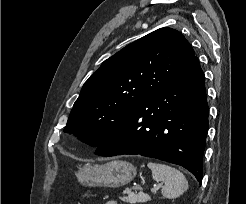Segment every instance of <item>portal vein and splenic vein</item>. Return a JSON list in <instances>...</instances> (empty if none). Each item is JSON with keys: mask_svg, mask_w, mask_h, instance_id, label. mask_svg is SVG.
I'll return each instance as SVG.
<instances>
[{"mask_svg": "<svg viewBox=\"0 0 246 204\" xmlns=\"http://www.w3.org/2000/svg\"><path fill=\"white\" fill-rule=\"evenodd\" d=\"M160 187H162V184L155 185L151 188V193H155ZM129 195H134V193L130 192Z\"/></svg>", "mask_w": 246, "mask_h": 204, "instance_id": "obj_1", "label": "portal vein and splenic vein"}]
</instances>
